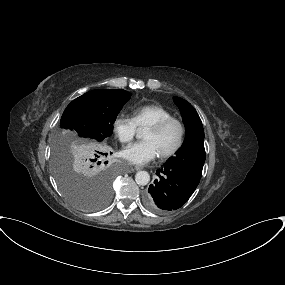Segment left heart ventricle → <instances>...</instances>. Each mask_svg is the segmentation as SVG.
Wrapping results in <instances>:
<instances>
[{
    "mask_svg": "<svg viewBox=\"0 0 285 285\" xmlns=\"http://www.w3.org/2000/svg\"><path fill=\"white\" fill-rule=\"evenodd\" d=\"M143 139L151 141L159 154H163L172 149L179 139V127L172 123L160 132L146 130Z\"/></svg>",
    "mask_w": 285,
    "mask_h": 285,
    "instance_id": "1",
    "label": "left heart ventricle"
}]
</instances>
